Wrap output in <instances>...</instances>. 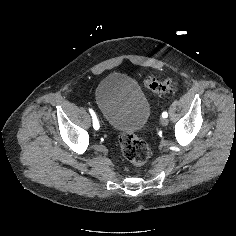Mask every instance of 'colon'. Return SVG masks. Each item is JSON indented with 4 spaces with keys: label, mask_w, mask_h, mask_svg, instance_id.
Masks as SVG:
<instances>
[{
    "label": "colon",
    "mask_w": 236,
    "mask_h": 236,
    "mask_svg": "<svg viewBox=\"0 0 236 236\" xmlns=\"http://www.w3.org/2000/svg\"><path fill=\"white\" fill-rule=\"evenodd\" d=\"M146 89L154 94L165 95L174 89L171 78H147L144 80ZM121 151L124 157L134 167L143 166L150 155L148 144L139 139L134 133H124L119 137Z\"/></svg>",
    "instance_id": "colon-1"
}]
</instances>
